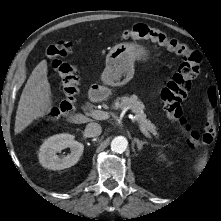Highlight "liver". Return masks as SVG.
I'll use <instances>...</instances> for the list:
<instances>
[{
	"label": "liver",
	"mask_w": 221,
	"mask_h": 221,
	"mask_svg": "<svg viewBox=\"0 0 221 221\" xmlns=\"http://www.w3.org/2000/svg\"><path fill=\"white\" fill-rule=\"evenodd\" d=\"M51 88L47 78V61L42 60L32 71L22 91L15 119V133L18 134L34 120L45 116L52 106ZM75 124L87 123L90 119L82 114L68 118Z\"/></svg>",
	"instance_id": "6515ba94"
}]
</instances>
